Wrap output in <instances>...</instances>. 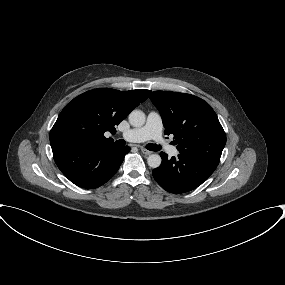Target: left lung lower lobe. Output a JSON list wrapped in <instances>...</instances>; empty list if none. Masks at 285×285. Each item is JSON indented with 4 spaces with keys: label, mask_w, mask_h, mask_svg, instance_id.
Here are the masks:
<instances>
[{
    "label": "left lung lower lobe",
    "mask_w": 285,
    "mask_h": 285,
    "mask_svg": "<svg viewBox=\"0 0 285 285\" xmlns=\"http://www.w3.org/2000/svg\"><path fill=\"white\" fill-rule=\"evenodd\" d=\"M161 165L154 169L152 175L156 182L166 191L180 194L191 191L207 180L217 167L210 161L178 154L168 159L164 152L160 153Z\"/></svg>",
    "instance_id": "obj_1"
}]
</instances>
